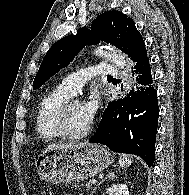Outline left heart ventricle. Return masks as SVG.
Listing matches in <instances>:
<instances>
[{"mask_svg":"<svg viewBox=\"0 0 189 195\" xmlns=\"http://www.w3.org/2000/svg\"><path fill=\"white\" fill-rule=\"evenodd\" d=\"M83 104H75L69 111L67 116V127L71 133L77 134L82 132L89 124Z\"/></svg>","mask_w":189,"mask_h":195,"instance_id":"1","label":"left heart ventricle"}]
</instances>
